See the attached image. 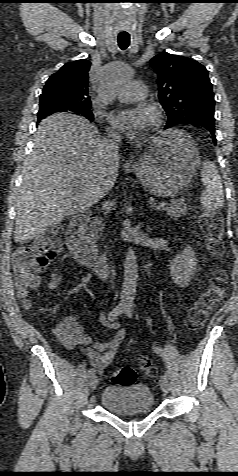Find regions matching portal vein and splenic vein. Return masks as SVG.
<instances>
[{
	"label": "portal vein and splenic vein",
	"mask_w": 238,
	"mask_h": 476,
	"mask_svg": "<svg viewBox=\"0 0 238 476\" xmlns=\"http://www.w3.org/2000/svg\"><path fill=\"white\" fill-rule=\"evenodd\" d=\"M158 205H159V204L156 203V202H152V201L150 202V207H151V208H156Z\"/></svg>",
	"instance_id": "obj_1"
}]
</instances>
